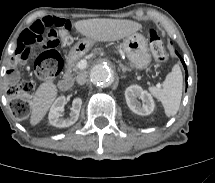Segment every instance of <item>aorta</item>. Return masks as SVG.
<instances>
[{
  "mask_svg": "<svg viewBox=\"0 0 215 183\" xmlns=\"http://www.w3.org/2000/svg\"><path fill=\"white\" fill-rule=\"evenodd\" d=\"M113 79L114 71L106 63H98L90 71V80L96 86L106 87L113 82Z\"/></svg>",
  "mask_w": 215,
  "mask_h": 183,
  "instance_id": "1",
  "label": "aorta"
}]
</instances>
